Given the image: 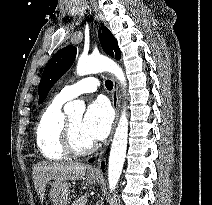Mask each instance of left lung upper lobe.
<instances>
[{
  "instance_id": "1",
  "label": "left lung upper lobe",
  "mask_w": 212,
  "mask_h": 205,
  "mask_svg": "<svg viewBox=\"0 0 212 205\" xmlns=\"http://www.w3.org/2000/svg\"><path fill=\"white\" fill-rule=\"evenodd\" d=\"M98 36L104 52L116 59H120L121 52L111 32L106 27H101ZM76 52V48L69 45L59 50L48 61L38 87L40 103L44 101L56 81L71 67L75 60Z\"/></svg>"
}]
</instances>
